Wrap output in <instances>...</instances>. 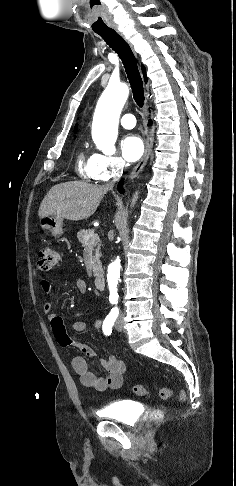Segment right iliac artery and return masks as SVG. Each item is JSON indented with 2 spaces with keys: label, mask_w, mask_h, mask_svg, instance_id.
Returning <instances> with one entry per match:
<instances>
[{
  "label": "right iliac artery",
  "mask_w": 236,
  "mask_h": 486,
  "mask_svg": "<svg viewBox=\"0 0 236 486\" xmlns=\"http://www.w3.org/2000/svg\"><path fill=\"white\" fill-rule=\"evenodd\" d=\"M119 309L117 307L112 308L111 312L107 315L103 322V332L105 335H110L112 333V327L116 318L118 317Z\"/></svg>",
  "instance_id": "obj_1"
}]
</instances>
